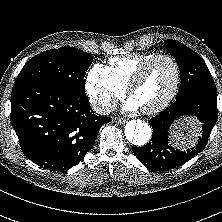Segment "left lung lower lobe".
<instances>
[{
  "mask_svg": "<svg viewBox=\"0 0 222 222\" xmlns=\"http://www.w3.org/2000/svg\"><path fill=\"white\" fill-rule=\"evenodd\" d=\"M217 94L194 91L177 96L165 111L149 120L153 128L152 140L144 147H132L138 160L151 170H170L183 165L206 146L217 121ZM183 116H195L202 123L197 144L186 151L175 150L168 144L169 129Z\"/></svg>",
  "mask_w": 222,
  "mask_h": 222,
  "instance_id": "0a47b994",
  "label": "left lung lower lobe"
}]
</instances>
